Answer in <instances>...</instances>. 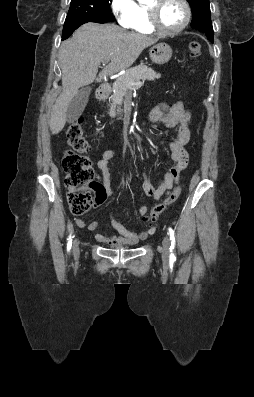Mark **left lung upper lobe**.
Masks as SVG:
<instances>
[{
  "label": "left lung upper lobe",
  "instance_id": "1",
  "mask_svg": "<svg viewBox=\"0 0 254 397\" xmlns=\"http://www.w3.org/2000/svg\"><path fill=\"white\" fill-rule=\"evenodd\" d=\"M187 1L192 8L191 27L205 32L207 37H213L209 0Z\"/></svg>",
  "mask_w": 254,
  "mask_h": 397
}]
</instances>
